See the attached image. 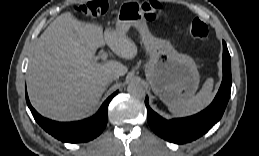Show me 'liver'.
<instances>
[{"label":"liver","instance_id":"1","mask_svg":"<svg viewBox=\"0 0 259 156\" xmlns=\"http://www.w3.org/2000/svg\"><path fill=\"white\" fill-rule=\"evenodd\" d=\"M107 44L119 57L133 59L138 49L126 31L106 29L59 15L42 33L27 70V90L33 107L56 121H74L89 115L106 90L107 74L123 76L118 61H95L96 50Z\"/></svg>","mask_w":259,"mask_h":156}]
</instances>
